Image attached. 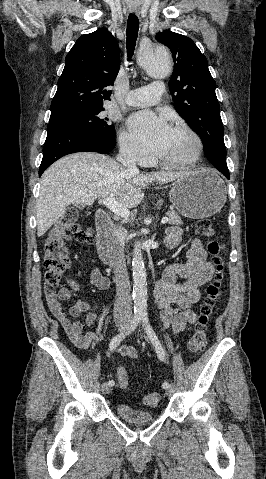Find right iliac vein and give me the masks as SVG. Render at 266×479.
Segmentation results:
<instances>
[{
	"mask_svg": "<svg viewBox=\"0 0 266 479\" xmlns=\"http://www.w3.org/2000/svg\"><path fill=\"white\" fill-rule=\"evenodd\" d=\"M127 327H128V323L126 322H120L117 324V329L120 332L127 329ZM101 390L104 394H108L111 391V387L107 383H103L101 386Z\"/></svg>",
	"mask_w": 266,
	"mask_h": 479,
	"instance_id": "63e3f726",
	"label": "right iliac vein"
}]
</instances>
